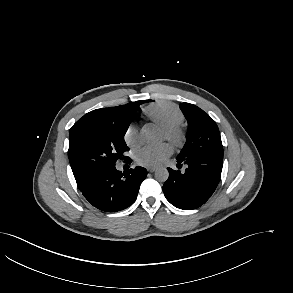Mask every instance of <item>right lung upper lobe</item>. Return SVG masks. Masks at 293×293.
<instances>
[{
  "mask_svg": "<svg viewBox=\"0 0 293 293\" xmlns=\"http://www.w3.org/2000/svg\"><path fill=\"white\" fill-rule=\"evenodd\" d=\"M139 103H140V101H137V102H134V103H128L126 105H121V106H117V107L96 109V110H93V111L87 113L86 115H84L76 123L78 124V123L82 122L83 120H86V119H89V118H94V117H107V116H110V115L114 114L118 110H121V109L126 108V107H130V106H134V105L139 104ZM69 161H70V165H71V168H72L76 183L78 185V188L81 190V189H83L84 187H86L89 184V182L92 180V178L98 172H91V171L84 170V169L78 167L70 159H69Z\"/></svg>",
  "mask_w": 293,
  "mask_h": 293,
  "instance_id": "cb5924a9",
  "label": "right lung upper lobe"
}]
</instances>
